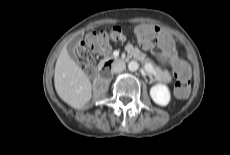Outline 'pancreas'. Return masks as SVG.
Instances as JSON below:
<instances>
[{
    "instance_id": "1",
    "label": "pancreas",
    "mask_w": 230,
    "mask_h": 155,
    "mask_svg": "<svg viewBox=\"0 0 230 155\" xmlns=\"http://www.w3.org/2000/svg\"><path fill=\"white\" fill-rule=\"evenodd\" d=\"M129 53L135 58V59H139L141 61H144L145 63H151L152 62L149 60V59H146L145 58V55L142 54L139 49H133V50H130ZM154 72H155V77L157 80L159 81H163L165 83H170L172 78H171V75L169 74L168 71L166 70H162L160 67L158 66H154Z\"/></svg>"
}]
</instances>
